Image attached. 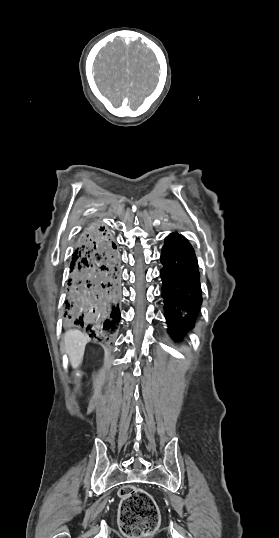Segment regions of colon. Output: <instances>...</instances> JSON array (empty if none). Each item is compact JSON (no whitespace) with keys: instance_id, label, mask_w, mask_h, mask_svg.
Returning a JSON list of instances; mask_svg holds the SVG:
<instances>
[{"instance_id":"5ec220e1","label":"colon","mask_w":279,"mask_h":538,"mask_svg":"<svg viewBox=\"0 0 279 538\" xmlns=\"http://www.w3.org/2000/svg\"><path fill=\"white\" fill-rule=\"evenodd\" d=\"M119 524L122 533L131 538L151 535L158 527L160 514L152 496L133 486L120 489Z\"/></svg>"}]
</instances>
